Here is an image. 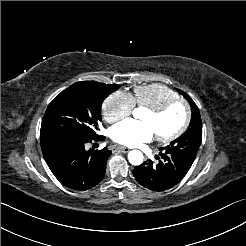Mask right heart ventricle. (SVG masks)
I'll list each match as a JSON object with an SVG mask.
<instances>
[{"instance_id": "obj_1", "label": "right heart ventricle", "mask_w": 246, "mask_h": 246, "mask_svg": "<svg viewBox=\"0 0 246 246\" xmlns=\"http://www.w3.org/2000/svg\"><path fill=\"white\" fill-rule=\"evenodd\" d=\"M177 97L176 92L159 83L136 86L133 89L134 106L147 109L155 107L162 102Z\"/></svg>"}]
</instances>
